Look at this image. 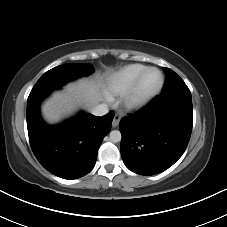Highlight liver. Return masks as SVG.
I'll use <instances>...</instances> for the list:
<instances>
[{
  "mask_svg": "<svg viewBox=\"0 0 227 227\" xmlns=\"http://www.w3.org/2000/svg\"><path fill=\"white\" fill-rule=\"evenodd\" d=\"M102 84L93 80H80L69 84L65 92H57L47 101L42 112L49 122H56L71 113L77 105L91 108L101 99Z\"/></svg>",
  "mask_w": 227,
  "mask_h": 227,
  "instance_id": "liver-1",
  "label": "liver"
}]
</instances>
